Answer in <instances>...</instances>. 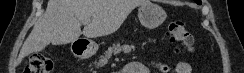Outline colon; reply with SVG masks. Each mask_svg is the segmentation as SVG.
I'll use <instances>...</instances> for the list:
<instances>
[{"label": "colon", "instance_id": "obj_1", "mask_svg": "<svg viewBox=\"0 0 244 73\" xmlns=\"http://www.w3.org/2000/svg\"><path fill=\"white\" fill-rule=\"evenodd\" d=\"M169 36L173 42L185 50H190L194 39L182 20H173L169 23ZM53 61L43 54H34L25 65L23 73H50Z\"/></svg>", "mask_w": 244, "mask_h": 73}]
</instances>
